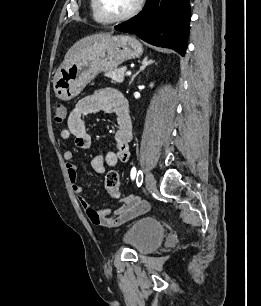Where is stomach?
I'll use <instances>...</instances> for the list:
<instances>
[{"label":"stomach","instance_id":"1","mask_svg":"<svg viewBox=\"0 0 261 306\" xmlns=\"http://www.w3.org/2000/svg\"><path fill=\"white\" fill-rule=\"evenodd\" d=\"M142 53V44L133 36L101 39L61 64L53 79L55 95L61 100H70L100 72L113 71L123 62L139 58Z\"/></svg>","mask_w":261,"mask_h":306}]
</instances>
